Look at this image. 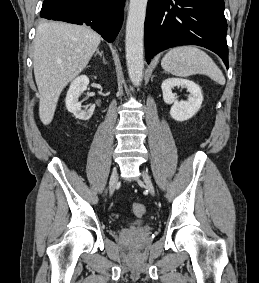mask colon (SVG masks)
<instances>
[{
  "label": "colon",
  "mask_w": 259,
  "mask_h": 283,
  "mask_svg": "<svg viewBox=\"0 0 259 283\" xmlns=\"http://www.w3.org/2000/svg\"><path fill=\"white\" fill-rule=\"evenodd\" d=\"M132 212L134 215L141 217L145 214V206L141 203H134L132 205Z\"/></svg>",
  "instance_id": "5ec220e1"
}]
</instances>
